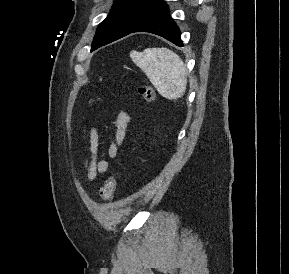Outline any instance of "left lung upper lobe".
<instances>
[{
	"instance_id": "1",
	"label": "left lung upper lobe",
	"mask_w": 289,
	"mask_h": 274,
	"mask_svg": "<svg viewBox=\"0 0 289 274\" xmlns=\"http://www.w3.org/2000/svg\"><path fill=\"white\" fill-rule=\"evenodd\" d=\"M164 4L162 0H115L96 30L91 50L126 36Z\"/></svg>"
}]
</instances>
